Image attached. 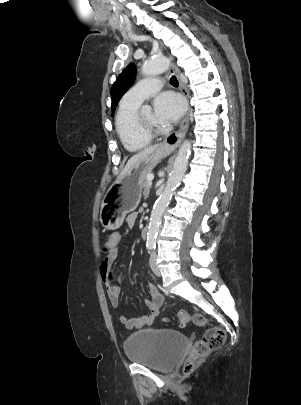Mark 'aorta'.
I'll return each mask as SVG.
<instances>
[{
    "label": "aorta",
    "instance_id": "aorta-1",
    "mask_svg": "<svg viewBox=\"0 0 301 405\" xmlns=\"http://www.w3.org/2000/svg\"><path fill=\"white\" fill-rule=\"evenodd\" d=\"M168 66L169 61L166 58L158 57L145 61L142 66V72L145 75H156L165 72L168 69ZM190 153L191 142L189 140H185L179 148L178 155L174 161L173 169L169 175L166 186L159 198L156 200L151 213L147 233V247L149 249L155 248L162 215L187 170Z\"/></svg>",
    "mask_w": 301,
    "mask_h": 405
}]
</instances>
